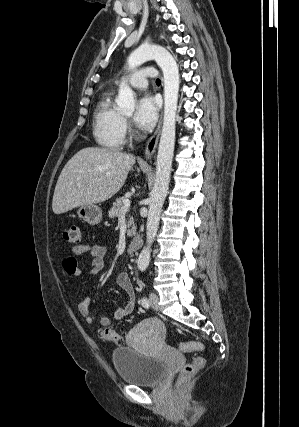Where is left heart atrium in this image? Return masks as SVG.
Here are the masks:
<instances>
[{"mask_svg":"<svg viewBox=\"0 0 299 427\" xmlns=\"http://www.w3.org/2000/svg\"><path fill=\"white\" fill-rule=\"evenodd\" d=\"M158 118V103L149 95L141 97L133 116L135 125L141 130H150Z\"/></svg>","mask_w":299,"mask_h":427,"instance_id":"1","label":"left heart atrium"}]
</instances>
